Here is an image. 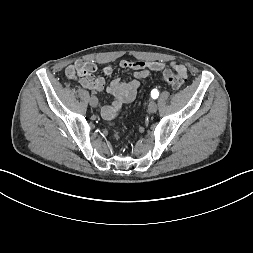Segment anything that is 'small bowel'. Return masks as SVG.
<instances>
[{"instance_id": "small-bowel-1", "label": "small bowel", "mask_w": 253, "mask_h": 253, "mask_svg": "<svg viewBox=\"0 0 253 253\" xmlns=\"http://www.w3.org/2000/svg\"><path fill=\"white\" fill-rule=\"evenodd\" d=\"M165 66L164 63L158 61L122 60L120 67L133 71L135 79L129 82H121L119 79H114L108 85H106L105 78L95 77L97 65L93 61L78 60L67 66L65 74L67 78L78 81L86 89H96L100 92L106 88L107 92L113 97V101L111 105L103 106L101 113L105 119L112 120L118 115L124 104L130 103L135 99L140 87L139 79L148 77L152 72L161 71ZM170 66L186 72V68L182 64L172 62ZM113 70L114 67L111 64H106L103 67V74L109 77L112 75Z\"/></svg>"}]
</instances>
